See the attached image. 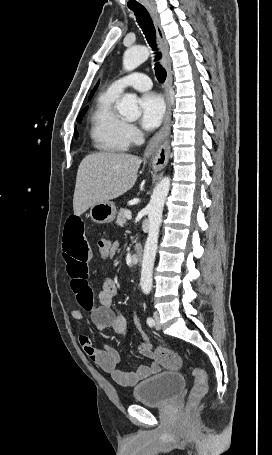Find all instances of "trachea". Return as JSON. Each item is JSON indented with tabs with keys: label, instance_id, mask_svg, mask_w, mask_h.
I'll use <instances>...</instances> for the list:
<instances>
[{
	"label": "trachea",
	"instance_id": "obj_1",
	"mask_svg": "<svg viewBox=\"0 0 272 455\" xmlns=\"http://www.w3.org/2000/svg\"><path fill=\"white\" fill-rule=\"evenodd\" d=\"M131 10L134 12V14L136 16V20H137L140 28L142 29V31L148 41V44L150 45V47L152 48V50L155 53V59H154L155 74H156L157 80L160 83H163L166 80V70L159 63L161 54L157 48L156 31H155L153 22L151 20V17L149 16L147 10L143 6L131 8Z\"/></svg>",
	"mask_w": 272,
	"mask_h": 455
}]
</instances>
